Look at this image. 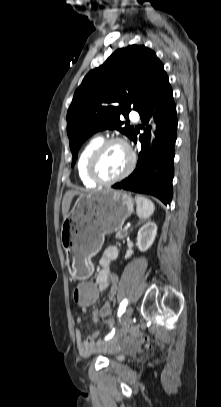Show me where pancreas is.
<instances>
[{
	"label": "pancreas",
	"mask_w": 221,
	"mask_h": 407,
	"mask_svg": "<svg viewBox=\"0 0 221 407\" xmlns=\"http://www.w3.org/2000/svg\"><path fill=\"white\" fill-rule=\"evenodd\" d=\"M126 236H127V230L126 229L119 230L115 235L116 239H120V240L124 239Z\"/></svg>",
	"instance_id": "cf45deb5"
}]
</instances>
